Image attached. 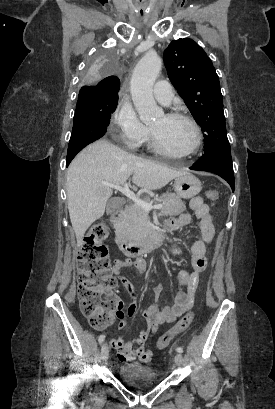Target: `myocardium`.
Listing matches in <instances>:
<instances>
[{
    "mask_svg": "<svg viewBox=\"0 0 275 409\" xmlns=\"http://www.w3.org/2000/svg\"><path fill=\"white\" fill-rule=\"evenodd\" d=\"M165 118L167 120H184L186 121L193 129L194 133V140L192 145L183 152H177L169 149L167 146L163 144L161 139L158 137V135L150 128L149 134H150V139H151V144L154 150L160 154L170 156V157H189L192 154L196 152L198 147L201 144L202 140V135H201V130L198 125V123L189 115L180 113V112H168L164 114Z\"/></svg>",
    "mask_w": 275,
    "mask_h": 409,
    "instance_id": "1",
    "label": "myocardium"
}]
</instances>
